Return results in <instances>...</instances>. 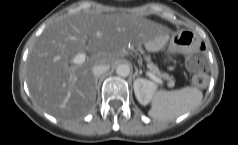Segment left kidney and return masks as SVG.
Masks as SVG:
<instances>
[{"label": "left kidney", "mask_w": 238, "mask_h": 145, "mask_svg": "<svg viewBox=\"0 0 238 145\" xmlns=\"http://www.w3.org/2000/svg\"><path fill=\"white\" fill-rule=\"evenodd\" d=\"M134 93L142 105H147L152 99L153 93L156 89V84L150 80L138 78L134 81Z\"/></svg>", "instance_id": "1"}]
</instances>
